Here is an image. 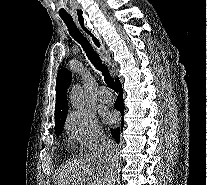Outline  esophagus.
Wrapping results in <instances>:
<instances>
[{
  "mask_svg": "<svg viewBox=\"0 0 207 185\" xmlns=\"http://www.w3.org/2000/svg\"><path fill=\"white\" fill-rule=\"evenodd\" d=\"M75 14H86V9H75ZM75 20H79V22H77L79 28L82 27L81 24H88L86 15H75ZM85 29H88V26H85ZM90 30L91 33H87V38L90 39L91 43L93 44L94 48L97 49L98 53L105 54L106 50L104 44L102 43L101 37L95 30Z\"/></svg>",
  "mask_w": 207,
  "mask_h": 185,
  "instance_id": "obj_1",
  "label": "esophagus"
}]
</instances>
